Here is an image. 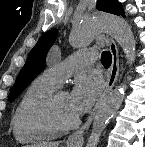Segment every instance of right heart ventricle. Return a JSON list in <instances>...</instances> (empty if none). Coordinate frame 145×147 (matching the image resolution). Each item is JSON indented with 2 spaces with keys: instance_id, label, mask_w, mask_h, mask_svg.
Instances as JSON below:
<instances>
[{
  "instance_id": "e07e8e85",
  "label": "right heart ventricle",
  "mask_w": 145,
  "mask_h": 147,
  "mask_svg": "<svg viewBox=\"0 0 145 147\" xmlns=\"http://www.w3.org/2000/svg\"><path fill=\"white\" fill-rule=\"evenodd\" d=\"M59 85L44 73L26 88L13 115L12 126L16 139L23 143H36L53 138L57 127L50 121L45 103Z\"/></svg>"
}]
</instances>
